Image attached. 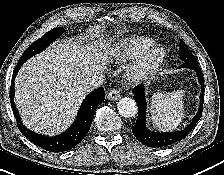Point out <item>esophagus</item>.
<instances>
[{
	"mask_svg": "<svg viewBox=\"0 0 224 175\" xmlns=\"http://www.w3.org/2000/svg\"><path fill=\"white\" fill-rule=\"evenodd\" d=\"M108 99L111 101H115L120 98V91L117 89H113L107 95Z\"/></svg>",
	"mask_w": 224,
	"mask_h": 175,
	"instance_id": "esophagus-1",
	"label": "esophagus"
}]
</instances>
